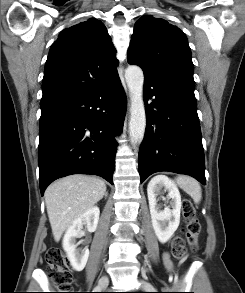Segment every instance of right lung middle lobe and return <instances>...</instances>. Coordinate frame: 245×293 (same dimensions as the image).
<instances>
[{
    "instance_id": "right-lung-middle-lobe-1",
    "label": "right lung middle lobe",
    "mask_w": 245,
    "mask_h": 293,
    "mask_svg": "<svg viewBox=\"0 0 245 293\" xmlns=\"http://www.w3.org/2000/svg\"><path fill=\"white\" fill-rule=\"evenodd\" d=\"M52 108H44V109H41V115L49 112Z\"/></svg>"
}]
</instances>
